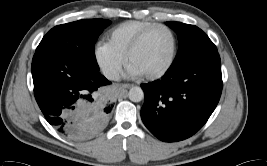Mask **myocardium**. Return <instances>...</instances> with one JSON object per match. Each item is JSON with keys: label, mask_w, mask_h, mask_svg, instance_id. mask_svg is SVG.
<instances>
[{"label": "myocardium", "mask_w": 267, "mask_h": 166, "mask_svg": "<svg viewBox=\"0 0 267 166\" xmlns=\"http://www.w3.org/2000/svg\"><path fill=\"white\" fill-rule=\"evenodd\" d=\"M157 30H165L166 32H168V34L171 37V41H172V46H171V53L169 56V59L167 61V63L158 71H155L153 73H146L145 77L149 78V79H155L158 78L162 75H164L172 66L175 55H176V49H177V39L176 36L174 34V32L166 25H155L152 28L146 30L145 32H143L134 42L133 44L130 46L128 53H127V60L129 63H131L133 55L135 54V52L137 51V49L142 45V43L144 42V40L153 32L157 31Z\"/></svg>", "instance_id": "obj_1"}]
</instances>
